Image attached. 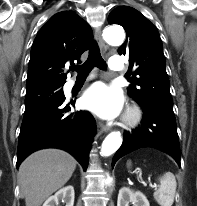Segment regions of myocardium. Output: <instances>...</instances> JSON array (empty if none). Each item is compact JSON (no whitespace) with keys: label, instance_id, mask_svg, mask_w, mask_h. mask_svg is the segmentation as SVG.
<instances>
[{"label":"myocardium","instance_id":"obj_1","mask_svg":"<svg viewBox=\"0 0 197 206\" xmlns=\"http://www.w3.org/2000/svg\"><path fill=\"white\" fill-rule=\"evenodd\" d=\"M141 120V112L136 107H131L126 112L124 117V123L127 127H134L136 126Z\"/></svg>","mask_w":197,"mask_h":206}]
</instances>
